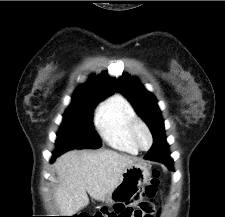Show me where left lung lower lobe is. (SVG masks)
<instances>
[{
	"label": "left lung lower lobe",
	"mask_w": 225,
	"mask_h": 217,
	"mask_svg": "<svg viewBox=\"0 0 225 217\" xmlns=\"http://www.w3.org/2000/svg\"><path fill=\"white\" fill-rule=\"evenodd\" d=\"M170 154H166L161 147L156 146V143L154 142V145L151 150L146 154V158L154 161H159L161 163H164L167 167L170 169L173 168V161L169 156Z\"/></svg>",
	"instance_id": "left-lung-lower-lobe-1"
}]
</instances>
